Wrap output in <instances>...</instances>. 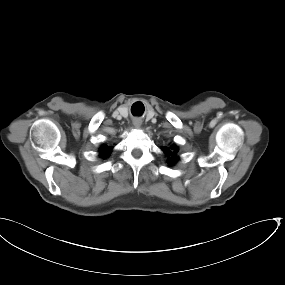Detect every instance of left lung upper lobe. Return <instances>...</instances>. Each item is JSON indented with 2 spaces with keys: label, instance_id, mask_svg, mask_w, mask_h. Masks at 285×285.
<instances>
[{
  "label": "left lung upper lobe",
  "instance_id": "1",
  "mask_svg": "<svg viewBox=\"0 0 285 285\" xmlns=\"http://www.w3.org/2000/svg\"><path fill=\"white\" fill-rule=\"evenodd\" d=\"M164 153L169 157L167 163L172 166L175 162L179 159L178 157L174 156V153L178 152V149L175 146H171L170 148H164Z\"/></svg>",
  "mask_w": 285,
  "mask_h": 285
}]
</instances>
